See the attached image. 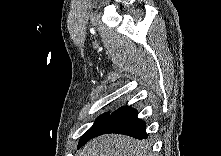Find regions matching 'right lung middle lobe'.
I'll use <instances>...</instances> for the list:
<instances>
[{
  "mask_svg": "<svg viewBox=\"0 0 221 156\" xmlns=\"http://www.w3.org/2000/svg\"><path fill=\"white\" fill-rule=\"evenodd\" d=\"M109 115L110 112L104 113L95 121L93 126L88 131H86L81 137L78 143V147L83 146L86 142L93 138V136L97 133V131L100 129V127L103 125V123L106 121Z\"/></svg>",
  "mask_w": 221,
  "mask_h": 156,
  "instance_id": "1",
  "label": "right lung middle lobe"
}]
</instances>
